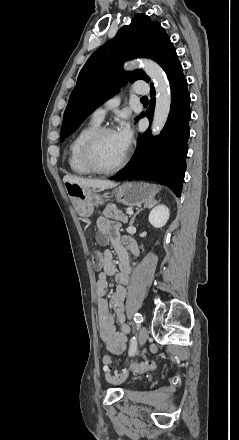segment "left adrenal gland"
Segmentation results:
<instances>
[{
	"mask_svg": "<svg viewBox=\"0 0 239 440\" xmlns=\"http://www.w3.org/2000/svg\"><path fill=\"white\" fill-rule=\"evenodd\" d=\"M141 210H142V208H141ZM141 210H138V212H136V214H134L132 220H130V224H129V226H132V224H133V222H134L136 216H138V214H140Z\"/></svg>",
	"mask_w": 239,
	"mask_h": 440,
	"instance_id": "left-adrenal-gland-1",
	"label": "left adrenal gland"
}]
</instances>
